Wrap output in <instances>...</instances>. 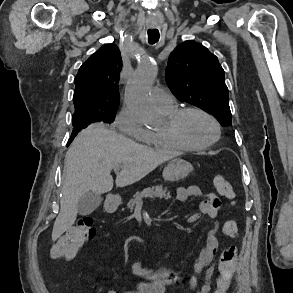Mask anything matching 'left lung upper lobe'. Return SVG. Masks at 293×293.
<instances>
[{
  "label": "left lung upper lobe",
  "mask_w": 293,
  "mask_h": 293,
  "mask_svg": "<svg viewBox=\"0 0 293 293\" xmlns=\"http://www.w3.org/2000/svg\"><path fill=\"white\" fill-rule=\"evenodd\" d=\"M166 81L180 100L209 112L223 126L232 124L224 70L204 46L185 41L177 47L168 60Z\"/></svg>",
  "instance_id": "5c2ea615"
}]
</instances>
